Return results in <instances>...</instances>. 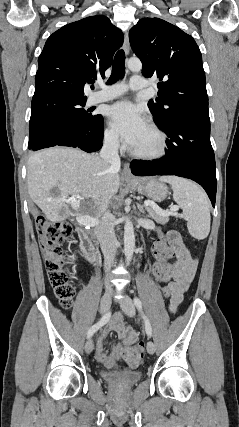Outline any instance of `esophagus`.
I'll return each mask as SVG.
<instances>
[{
	"label": "esophagus",
	"instance_id": "obj_1",
	"mask_svg": "<svg viewBox=\"0 0 239 427\" xmlns=\"http://www.w3.org/2000/svg\"><path fill=\"white\" fill-rule=\"evenodd\" d=\"M123 47H124V51H125L126 55L129 54L130 43H129V36H128L127 32L125 33V36H124V45H123ZM122 177L124 179H127V180H132L133 179V175L131 174V170H130V167H129L128 163H124L123 170H122Z\"/></svg>",
	"mask_w": 239,
	"mask_h": 427
}]
</instances>
